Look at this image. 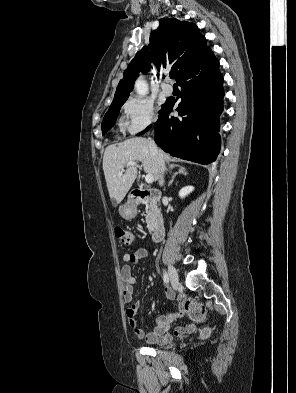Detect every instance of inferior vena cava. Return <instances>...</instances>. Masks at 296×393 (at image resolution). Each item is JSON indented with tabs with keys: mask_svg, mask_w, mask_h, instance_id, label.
<instances>
[{
	"mask_svg": "<svg viewBox=\"0 0 296 393\" xmlns=\"http://www.w3.org/2000/svg\"><path fill=\"white\" fill-rule=\"evenodd\" d=\"M149 145H150V150L153 152V154L155 155L157 164L160 168V171L163 173L165 171V163L163 160L162 155L160 154L155 142L153 140L149 141ZM164 183L163 177H161V179L159 180V184L162 186Z\"/></svg>",
	"mask_w": 296,
	"mask_h": 393,
	"instance_id": "602c4592",
	"label": "inferior vena cava"
}]
</instances>
